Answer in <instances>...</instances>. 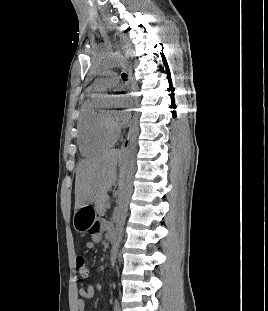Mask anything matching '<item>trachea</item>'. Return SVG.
Segmentation results:
<instances>
[{
  "mask_svg": "<svg viewBox=\"0 0 268 311\" xmlns=\"http://www.w3.org/2000/svg\"><path fill=\"white\" fill-rule=\"evenodd\" d=\"M121 77H122V79H123L124 81H127V74H126V73H123Z\"/></svg>",
  "mask_w": 268,
  "mask_h": 311,
  "instance_id": "obj_1",
  "label": "trachea"
}]
</instances>
